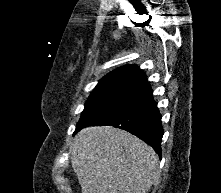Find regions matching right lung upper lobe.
Here are the masks:
<instances>
[{"mask_svg": "<svg viewBox=\"0 0 221 193\" xmlns=\"http://www.w3.org/2000/svg\"><path fill=\"white\" fill-rule=\"evenodd\" d=\"M111 84L134 85L145 89L150 86L146 75L136 65H125L108 73L99 81L96 88Z\"/></svg>", "mask_w": 221, "mask_h": 193, "instance_id": "obj_1", "label": "right lung upper lobe"}]
</instances>
